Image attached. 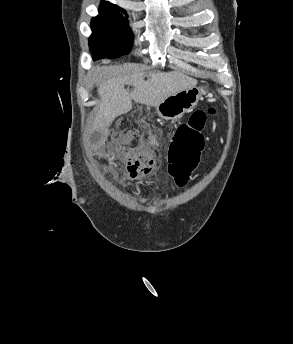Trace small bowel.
Here are the masks:
<instances>
[{
	"label": "small bowel",
	"mask_w": 293,
	"mask_h": 344,
	"mask_svg": "<svg viewBox=\"0 0 293 344\" xmlns=\"http://www.w3.org/2000/svg\"><path fill=\"white\" fill-rule=\"evenodd\" d=\"M144 138L148 142V144L153 148H159L160 147V139L157 135L148 133L144 135Z\"/></svg>",
	"instance_id": "1"
}]
</instances>
